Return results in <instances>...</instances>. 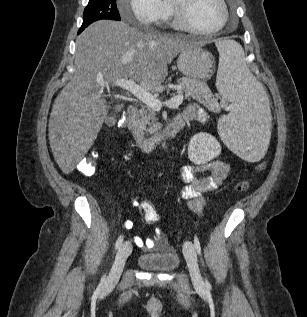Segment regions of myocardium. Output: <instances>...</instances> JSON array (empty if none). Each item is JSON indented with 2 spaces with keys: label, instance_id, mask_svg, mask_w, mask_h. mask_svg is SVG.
Here are the masks:
<instances>
[{
  "label": "myocardium",
  "instance_id": "f54148a6",
  "mask_svg": "<svg viewBox=\"0 0 307 317\" xmlns=\"http://www.w3.org/2000/svg\"><path fill=\"white\" fill-rule=\"evenodd\" d=\"M218 2L222 8L221 22L214 29L200 30L191 23L188 17V7L191 0H168L174 24L181 30L201 36L214 35L221 31L227 24L229 19V9L227 3L225 0H218Z\"/></svg>",
  "mask_w": 307,
  "mask_h": 317
}]
</instances>
